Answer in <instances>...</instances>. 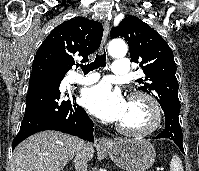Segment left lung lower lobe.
I'll use <instances>...</instances> for the list:
<instances>
[{
    "mask_svg": "<svg viewBox=\"0 0 199 171\" xmlns=\"http://www.w3.org/2000/svg\"><path fill=\"white\" fill-rule=\"evenodd\" d=\"M165 113V129L154 138H168L173 140L180 150L184 153L183 149V135L181 126L179 124V112L164 111Z\"/></svg>",
    "mask_w": 199,
    "mask_h": 171,
    "instance_id": "0a47b994",
    "label": "left lung lower lobe"
}]
</instances>
